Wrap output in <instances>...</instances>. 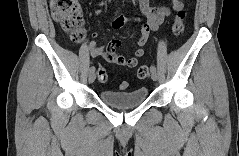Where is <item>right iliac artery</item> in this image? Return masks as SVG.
Instances as JSON below:
<instances>
[{
    "label": "right iliac artery",
    "instance_id": "1",
    "mask_svg": "<svg viewBox=\"0 0 239 156\" xmlns=\"http://www.w3.org/2000/svg\"><path fill=\"white\" fill-rule=\"evenodd\" d=\"M90 71H95V67H94V66H91V67H90Z\"/></svg>",
    "mask_w": 239,
    "mask_h": 156
}]
</instances>
